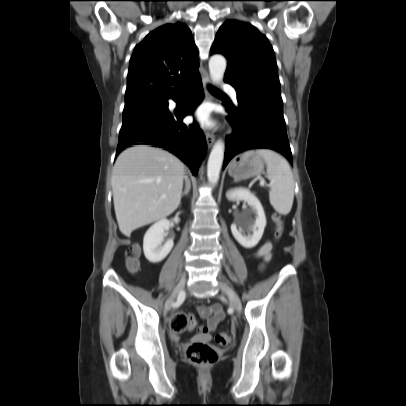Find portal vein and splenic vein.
<instances>
[{
  "mask_svg": "<svg viewBox=\"0 0 406 406\" xmlns=\"http://www.w3.org/2000/svg\"><path fill=\"white\" fill-rule=\"evenodd\" d=\"M265 184V182H260V185L263 186ZM163 198L165 197V195L162 196Z\"/></svg>",
  "mask_w": 406,
  "mask_h": 406,
  "instance_id": "18ae733b",
  "label": "portal vein and splenic vein"
}]
</instances>
